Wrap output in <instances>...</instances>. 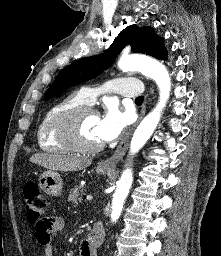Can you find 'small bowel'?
Returning a JSON list of instances; mask_svg holds the SVG:
<instances>
[{
    "label": "small bowel",
    "mask_w": 221,
    "mask_h": 256,
    "mask_svg": "<svg viewBox=\"0 0 221 256\" xmlns=\"http://www.w3.org/2000/svg\"><path fill=\"white\" fill-rule=\"evenodd\" d=\"M63 227L64 221L61 217L46 218L43 227L35 226V237L37 242L43 247L44 256H53L51 235L61 231ZM80 255L96 256V249L92 248L85 239L81 243Z\"/></svg>",
    "instance_id": "obj_1"
}]
</instances>
